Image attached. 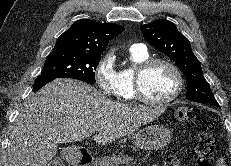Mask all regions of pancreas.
Masks as SVG:
<instances>
[{
	"label": "pancreas",
	"mask_w": 231,
	"mask_h": 166,
	"mask_svg": "<svg viewBox=\"0 0 231 166\" xmlns=\"http://www.w3.org/2000/svg\"><path fill=\"white\" fill-rule=\"evenodd\" d=\"M136 161L137 160L134 159V157L123 155L122 153H119L118 155L113 153L111 156L96 159L92 166H119L120 164L124 166H132Z\"/></svg>",
	"instance_id": "cf45deb5"
}]
</instances>
